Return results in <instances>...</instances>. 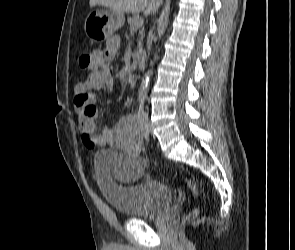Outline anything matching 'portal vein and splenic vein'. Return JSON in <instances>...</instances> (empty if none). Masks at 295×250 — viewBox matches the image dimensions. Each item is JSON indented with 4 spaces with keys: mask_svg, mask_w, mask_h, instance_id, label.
Listing matches in <instances>:
<instances>
[{
    "mask_svg": "<svg viewBox=\"0 0 295 250\" xmlns=\"http://www.w3.org/2000/svg\"><path fill=\"white\" fill-rule=\"evenodd\" d=\"M143 22L144 20L143 19H140L139 21H137L135 24H134V27H140L143 25Z\"/></svg>",
    "mask_w": 295,
    "mask_h": 250,
    "instance_id": "1",
    "label": "portal vein and splenic vein"
}]
</instances>
